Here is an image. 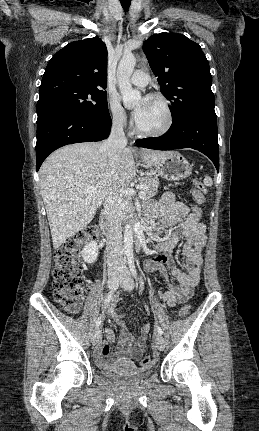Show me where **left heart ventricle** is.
Here are the masks:
<instances>
[{"label": "left heart ventricle", "mask_w": 259, "mask_h": 431, "mask_svg": "<svg viewBox=\"0 0 259 431\" xmlns=\"http://www.w3.org/2000/svg\"><path fill=\"white\" fill-rule=\"evenodd\" d=\"M139 101L136 107L140 104ZM165 122V112L160 102L147 99V105L142 115L136 120L138 127L144 131H156Z\"/></svg>", "instance_id": "1"}]
</instances>
